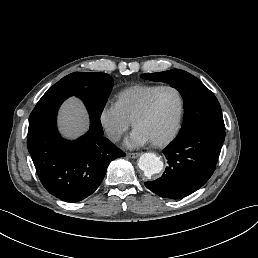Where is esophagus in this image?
Returning <instances> with one entry per match:
<instances>
[{"instance_id": "1", "label": "esophagus", "mask_w": 258, "mask_h": 258, "mask_svg": "<svg viewBox=\"0 0 258 258\" xmlns=\"http://www.w3.org/2000/svg\"><path fill=\"white\" fill-rule=\"evenodd\" d=\"M140 155H141L140 152H137V153H127V157L128 158H137Z\"/></svg>"}]
</instances>
